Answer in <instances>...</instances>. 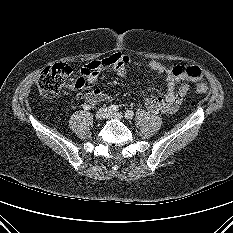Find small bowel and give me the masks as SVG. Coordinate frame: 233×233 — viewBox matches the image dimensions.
<instances>
[{
  "mask_svg": "<svg viewBox=\"0 0 233 233\" xmlns=\"http://www.w3.org/2000/svg\"><path fill=\"white\" fill-rule=\"evenodd\" d=\"M131 57L124 53H113L99 60H94L84 65L81 69V76L74 84L75 88H82L85 83L95 85L101 72L112 70L120 77L127 76V64L130 63ZM181 66L166 67L158 61H150L148 68L158 75H163L167 91L163 96L149 95L145 99V106L152 112L172 113L175 112L183 98L188 92V82H196L200 79L190 78L184 75L175 74L174 70ZM85 100L90 104L110 101L111 97L98 88H94L85 95Z\"/></svg>",
  "mask_w": 233,
  "mask_h": 233,
  "instance_id": "small-bowel-1",
  "label": "small bowel"
}]
</instances>
